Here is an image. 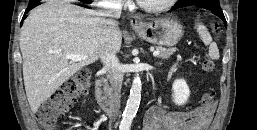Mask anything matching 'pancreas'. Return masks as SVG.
I'll return each mask as SVG.
<instances>
[{
  "mask_svg": "<svg viewBox=\"0 0 257 130\" xmlns=\"http://www.w3.org/2000/svg\"><path fill=\"white\" fill-rule=\"evenodd\" d=\"M156 49L160 51L159 57L162 59H168L174 53V49L172 48L166 49L162 48L161 46H158L156 47Z\"/></svg>",
  "mask_w": 257,
  "mask_h": 130,
  "instance_id": "pancreas-1",
  "label": "pancreas"
}]
</instances>
